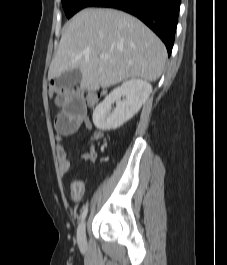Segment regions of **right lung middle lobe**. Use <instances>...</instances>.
Segmentation results:
<instances>
[{"label": "right lung middle lobe", "instance_id": "obj_1", "mask_svg": "<svg viewBox=\"0 0 227 265\" xmlns=\"http://www.w3.org/2000/svg\"><path fill=\"white\" fill-rule=\"evenodd\" d=\"M61 1L66 16L70 18L82 8L87 7L93 0H61Z\"/></svg>", "mask_w": 227, "mask_h": 265}]
</instances>
